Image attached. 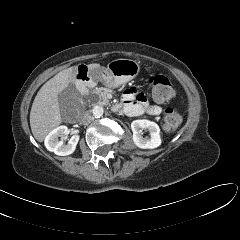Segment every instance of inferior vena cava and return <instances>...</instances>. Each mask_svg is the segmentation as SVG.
I'll use <instances>...</instances> for the list:
<instances>
[{"label":"inferior vena cava","instance_id":"inferior-vena-cava-1","mask_svg":"<svg viewBox=\"0 0 240 240\" xmlns=\"http://www.w3.org/2000/svg\"><path fill=\"white\" fill-rule=\"evenodd\" d=\"M93 119V115L91 113V111H86L81 119V122L84 124V125H88Z\"/></svg>","mask_w":240,"mask_h":240}]
</instances>
